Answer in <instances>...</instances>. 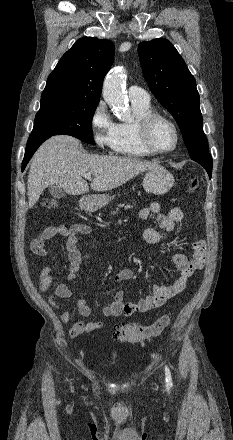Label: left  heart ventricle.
I'll return each instance as SVG.
<instances>
[{"mask_svg": "<svg viewBox=\"0 0 233 440\" xmlns=\"http://www.w3.org/2000/svg\"><path fill=\"white\" fill-rule=\"evenodd\" d=\"M151 141L158 149L167 150L172 148L175 142L173 129L166 122L157 121L152 128Z\"/></svg>", "mask_w": 233, "mask_h": 440, "instance_id": "1", "label": "left heart ventricle"}]
</instances>
